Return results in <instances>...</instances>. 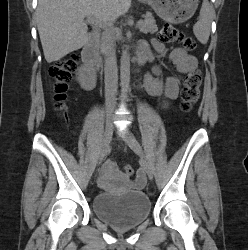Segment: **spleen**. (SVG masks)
<instances>
[{
    "label": "spleen",
    "mask_w": 248,
    "mask_h": 250,
    "mask_svg": "<svg viewBox=\"0 0 248 250\" xmlns=\"http://www.w3.org/2000/svg\"><path fill=\"white\" fill-rule=\"evenodd\" d=\"M213 12V7L208 0H203L199 20L193 26L194 35L202 44H206L209 39Z\"/></svg>",
    "instance_id": "obj_1"
}]
</instances>
